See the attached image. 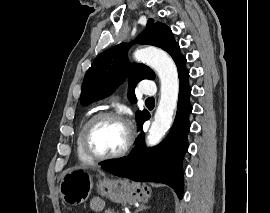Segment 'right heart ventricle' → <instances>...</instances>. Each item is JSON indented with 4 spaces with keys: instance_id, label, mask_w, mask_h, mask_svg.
<instances>
[{
    "instance_id": "e07e8e85",
    "label": "right heart ventricle",
    "mask_w": 270,
    "mask_h": 213,
    "mask_svg": "<svg viewBox=\"0 0 270 213\" xmlns=\"http://www.w3.org/2000/svg\"><path fill=\"white\" fill-rule=\"evenodd\" d=\"M89 118L90 117L85 118L83 120V122L80 124L79 129H78L77 134H76V139H75L76 154H77L78 159L83 163L93 162V160L90 159L84 153L83 148H82V132H83V129H84L86 123L88 122Z\"/></svg>"
}]
</instances>
